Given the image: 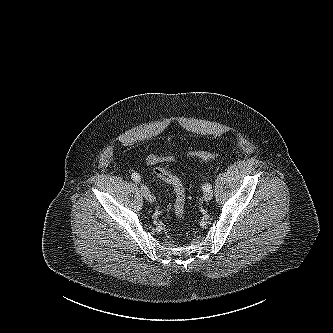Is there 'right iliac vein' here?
Segmentation results:
<instances>
[{"label": "right iliac vein", "mask_w": 333, "mask_h": 333, "mask_svg": "<svg viewBox=\"0 0 333 333\" xmlns=\"http://www.w3.org/2000/svg\"><path fill=\"white\" fill-rule=\"evenodd\" d=\"M140 189H141L142 195L145 197L146 200H148L149 202L154 201V197L146 185L142 184L140 186Z\"/></svg>", "instance_id": "right-iliac-vein-1"}]
</instances>
